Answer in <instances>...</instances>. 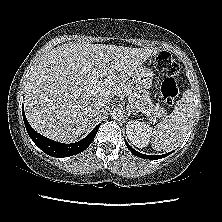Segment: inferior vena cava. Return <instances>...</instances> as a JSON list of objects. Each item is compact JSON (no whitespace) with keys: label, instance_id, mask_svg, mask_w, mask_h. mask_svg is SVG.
<instances>
[{"label":"inferior vena cava","instance_id":"602c4592","mask_svg":"<svg viewBox=\"0 0 222 222\" xmlns=\"http://www.w3.org/2000/svg\"><path fill=\"white\" fill-rule=\"evenodd\" d=\"M106 110H107V104L104 101H100L91 109V114L93 116H97L102 113H105Z\"/></svg>","mask_w":222,"mask_h":222}]
</instances>
